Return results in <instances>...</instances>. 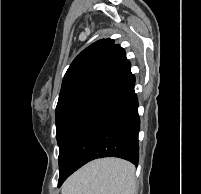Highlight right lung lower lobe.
Here are the masks:
<instances>
[{"instance_id":"98d812e1","label":"right lung lower lobe","mask_w":201,"mask_h":194,"mask_svg":"<svg viewBox=\"0 0 201 194\" xmlns=\"http://www.w3.org/2000/svg\"><path fill=\"white\" fill-rule=\"evenodd\" d=\"M130 74L93 98L68 125L59 144L58 187L90 160L115 156L139 160L138 100Z\"/></svg>"}]
</instances>
